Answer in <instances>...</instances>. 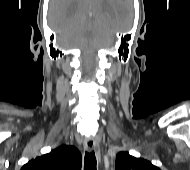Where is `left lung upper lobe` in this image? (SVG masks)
Here are the masks:
<instances>
[{"label":"left lung upper lobe","mask_w":190,"mask_h":170,"mask_svg":"<svg viewBox=\"0 0 190 170\" xmlns=\"http://www.w3.org/2000/svg\"><path fill=\"white\" fill-rule=\"evenodd\" d=\"M116 170H160L151 162L135 158L127 152H119L116 155Z\"/></svg>","instance_id":"obj_1"}]
</instances>
